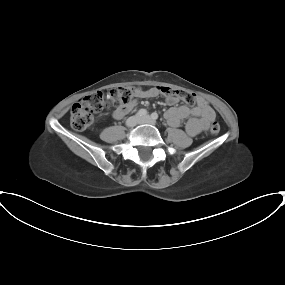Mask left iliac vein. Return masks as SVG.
<instances>
[{
  "label": "left iliac vein",
  "instance_id": "4c4485c4",
  "mask_svg": "<svg viewBox=\"0 0 285 285\" xmlns=\"http://www.w3.org/2000/svg\"><path fill=\"white\" fill-rule=\"evenodd\" d=\"M140 124H151L154 125L155 121L150 116H144L140 118Z\"/></svg>",
  "mask_w": 285,
  "mask_h": 285
}]
</instances>
